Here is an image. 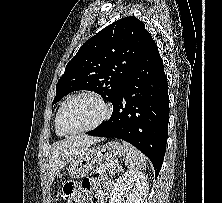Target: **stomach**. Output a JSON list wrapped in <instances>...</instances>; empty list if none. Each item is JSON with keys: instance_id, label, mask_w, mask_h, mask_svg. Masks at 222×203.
<instances>
[{"instance_id": "1", "label": "stomach", "mask_w": 222, "mask_h": 203, "mask_svg": "<svg viewBox=\"0 0 222 203\" xmlns=\"http://www.w3.org/2000/svg\"><path fill=\"white\" fill-rule=\"evenodd\" d=\"M123 154L124 148L118 141L87 147L72 158L68 168L69 175L71 178L84 177L101 161L116 160Z\"/></svg>"}]
</instances>
